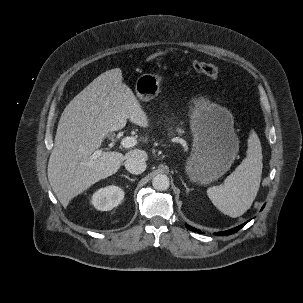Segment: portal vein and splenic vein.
<instances>
[{
  "label": "portal vein and splenic vein",
  "instance_id": "portal-vein-and-splenic-vein-1",
  "mask_svg": "<svg viewBox=\"0 0 303 303\" xmlns=\"http://www.w3.org/2000/svg\"><path fill=\"white\" fill-rule=\"evenodd\" d=\"M120 144H121V146H122L123 148H131V147H134V146L137 144V140H136V138H134V137H129V136H128V137L123 138V139L121 140ZM100 154H101V151H100V150L95 151V152L93 153L91 159H92V160H93V159H96L98 156H100Z\"/></svg>",
  "mask_w": 303,
  "mask_h": 303
}]
</instances>
